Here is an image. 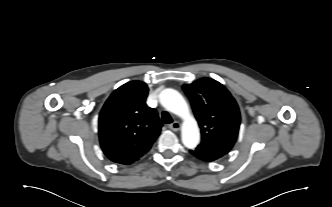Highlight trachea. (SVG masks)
<instances>
[{"label": "trachea", "mask_w": 332, "mask_h": 207, "mask_svg": "<svg viewBox=\"0 0 332 207\" xmlns=\"http://www.w3.org/2000/svg\"><path fill=\"white\" fill-rule=\"evenodd\" d=\"M162 122L163 123H166V124H169V123H172L173 120H172V117L170 116V114L166 111H164L162 113Z\"/></svg>", "instance_id": "trachea-1"}]
</instances>
